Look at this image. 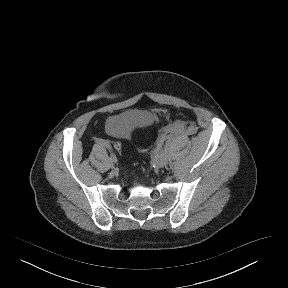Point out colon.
Returning <instances> with one entry per match:
<instances>
[{
	"label": "colon",
	"mask_w": 288,
	"mask_h": 288,
	"mask_svg": "<svg viewBox=\"0 0 288 288\" xmlns=\"http://www.w3.org/2000/svg\"><path fill=\"white\" fill-rule=\"evenodd\" d=\"M110 145H111V146H114L116 153H119V152L121 151V149H122L121 145H120L119 143H116L115 140H112V141L110 142Z\"/></svg>",
	"instance_id": "obj_1"
}]
</instances>
